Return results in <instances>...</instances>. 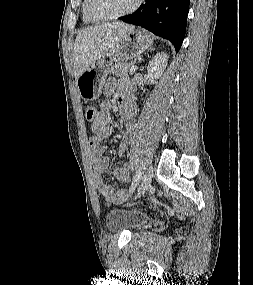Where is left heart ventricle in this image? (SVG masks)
<instances>
[{
    "label": "left heart ventricle",
    "instance_id": "obj_1",
    "mask_svg": "<svg viewBox=\"0 0 253 285\" xmlns=\"http://www.w3.org/2000/svg\"><path fill=\"white\" fill-rule=\"evenodd\" d=\"M95 11L101 15H113L127 10L135 0H93Z\"/></svg>",
    "mask_w": 253,
    "mask_h": 285
}]
</instances>
